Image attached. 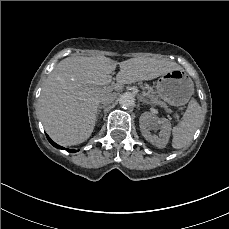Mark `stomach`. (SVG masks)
Segmentation results:
<instances>
[{"label": "stomach", "mask_w": 229, "mask_h": 229, "mask_svg": "<svg viewBox=\"0 0 229 229\" xmlns=\"http://www.w3.org/2000/svg\"><path fill=\"white\" fill-rule=\"evenodd\" d=\"M158 96L172 106L188 103L194 93V83L183 69H173L157 80Z\"/></svg>", "instance_id": "obj_1"}]
</instances>
